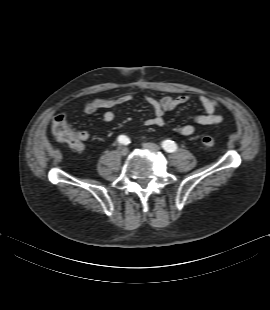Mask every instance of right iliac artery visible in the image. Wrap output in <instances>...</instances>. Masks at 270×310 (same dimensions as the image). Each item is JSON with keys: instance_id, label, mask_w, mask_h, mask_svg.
I'll return each mask as SVG.
<instances>
[{"instance_id": "right-iliac-artery-1", "label": "right iliac artery", "mask_w": 270, "mask_h": 310, "mask_svg": "<svg viewBox=\"0 0 270 310\" xmlns=\"http://www.w3.org/2000/svg\"><path fill=\"white\" fill-rule=\"evenodd\" d=\"M118 142L122 144H128L130 142L129 138L125 135H120L118 137Z\"/></svg>"}]
</instances>
